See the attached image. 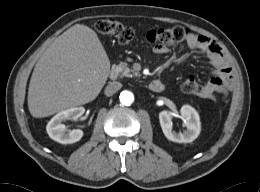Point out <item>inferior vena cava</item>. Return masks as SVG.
<instances>
[{"mask_svg": "<svg viewBox=\"0 0 260 192\" xmlns=\"http://www.w3.org/2000/svg\"><path fill=\"white\" fill-rule=\"evenodd\" d=\"M122 87V84L120 82H111L105 89V94L107 96H112L115 94L118 90H120Z\"/></svg>", "mask_w": 260, "mask_h": 192, "instance_id": "obj_1", "label": "inferior vena cava"}]
</instances>
